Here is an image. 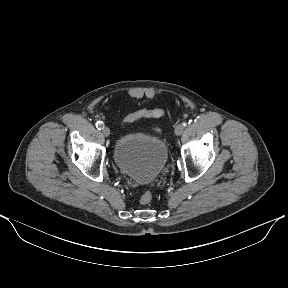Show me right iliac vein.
I'll use <instances>...</instances> for the list:
<instances>
[{
  "mask_svg": "<svg viewBox=\"0 0 288 288\" xmlns=\"http://www.w3.org/2000/svg\"><path fill=\"white\" fill-rule=\"evenodd\" d=\"M102 134L105 136V137H108L110 135V129L108 127H104L102 129Z\"/></svg>",
  "mask_w": 288,
  "mask_h": 288,
  "instance_id": "right-iliac-vein-1",
  "label": "right iliac vein"
}]
</instances>
